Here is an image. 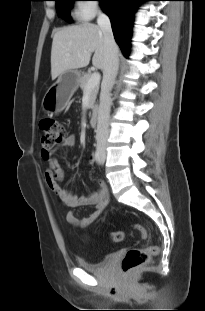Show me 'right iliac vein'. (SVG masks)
<instances>
[{"instance_id":"obj_1","label":"right iliac vein","mask_w":205,"mask_h":311,"mask_svg":"<svg viewBox=\"0 0 205 311\" xmlns=\"http://www.w3.org/2000/svg\"><path fill=\"white\" fill-rule=\"evenodd\" d=\"M99 151H100V154L102 151H104V147H99ZM104 159H105V156H104Z\"/></svg>"}]
</instances>
